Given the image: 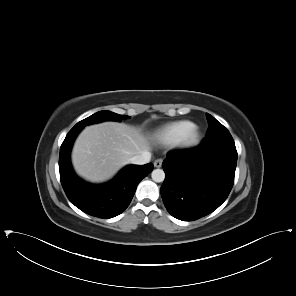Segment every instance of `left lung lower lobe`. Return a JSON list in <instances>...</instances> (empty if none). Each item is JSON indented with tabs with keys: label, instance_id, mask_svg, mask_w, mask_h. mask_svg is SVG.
I'll list each match as a JSON object with an SVG mask.
<instances>
[{
	"label": "left lung lower lobe",
	"instance_id": "1",
	"mask_svg": "<svg viewBox=\"0 0 296 296\" xmlns=\"http://www.w3.org/2000/svg\"><path fill=\"white\" fill-rule=\"evenodd\" d=\"M237 163L236 148L171 151L162 167L161 195L168 212L183 221L197 220L217 209L228 197Z\"/></svg>",
	"mask_w": 296,
	"mask_h": 296
}]
</instances>
